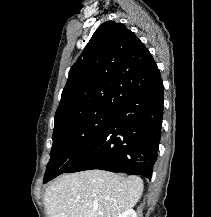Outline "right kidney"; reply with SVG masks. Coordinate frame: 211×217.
<instances>
[{
  "instance_id": "right-kidney-1",
  "label": "right kidney",
  "mask_w": 211,
  "mask_h": 217,
  "mask_svg": "<svg viewBox=\"0 0 211 217\" xmlns=\"http://www.w3.org/2000/svg\"><path fill=\"white\" fill-rule=\"evenodd\" d=\"M118 217H137V215L133 209H129L120 214Z\"/></svg>"
}]
</instances>
